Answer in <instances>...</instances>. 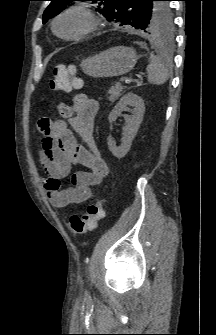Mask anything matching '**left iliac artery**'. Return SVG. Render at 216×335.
Here are the masks:
<instances>
[{
    "mask_svg": "<svg viewBox=\"0 0 216 335\" xmlns=\"http://www.w3.org/2000/svg\"><path fill=\"white\" fill-rule=\"evenodd\" d=\"M89 296V292L87 290H85V297Z\"/></svg>",
    "mask_w": 216,
    "mask_h": 335,
    "instance_id": "left-iliac-artery-1",
    "label": "left iliac artery"
}]
</instances>
